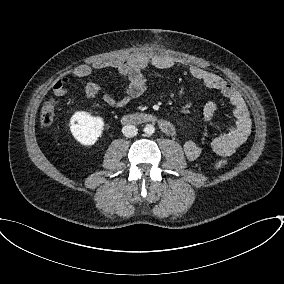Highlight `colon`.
<instances>
[{"label":"colon","mask_w":284,"mask_h":284,"mask_svg":"<svg viewBox=\"0 0 284 284\" xmlns=\"http://www.w3.org/2000/svg\"><path fill=\"white\" fill-rule=\"evenodd\" d=\"M55 118V103L53 100L46 101L40 111V122L44 127H50ZM226 165V160H219L216 163L217 168H222Z\"/></svg>","instance_id":"1"}]
</instances>
